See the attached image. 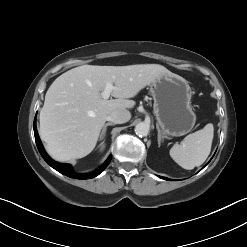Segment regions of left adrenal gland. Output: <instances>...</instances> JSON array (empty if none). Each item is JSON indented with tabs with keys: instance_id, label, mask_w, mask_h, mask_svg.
<instances>
[{
	"instance_id": "obj_1",
	"label": "left adrenal gland",
	"mask_w": 247,
	"mask_h": 247,
	"mask_svg": "<svg viewBox=\"0 0 247 247\" xmlns=\"http://www.w3.org/2000/svg\"><path fill=\"white\" fill-rule=\"evenodd\" d=\"M156 128H157V130H158V145H159V147H160L161 141H162L161 132H160V129H159V126H158V125H156Z\"/></svg>"
}]
</instances>
